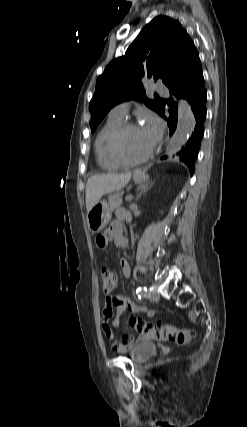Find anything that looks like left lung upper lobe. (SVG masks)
Segmentation results:
<instances>
[{
	"label": "left lung upper lobe",
	"mask_w": 247,
	"mask_h": 427,
	"mask_svg": "<svg viewBox=\"0 0 247 427\" xmlns=\"http://www.w3.org/2000/svg\"><path fill=\"white\" fill-rule=\"evenodd\" d=\"M198 57L194 43L178 21L162 15L154 18L125 55L110 62L97 79L89 105L91 131H95L112 107L126 100H143L159 113L162 105L146 99L143 79H160L167 86L183 75Z\"/></svg>",
	"instance_id": "1"
}]
</instances>
